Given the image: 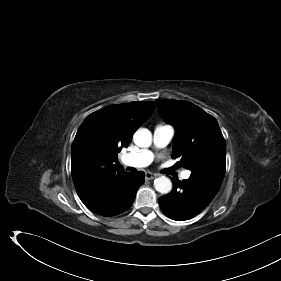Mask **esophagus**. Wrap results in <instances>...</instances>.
<instances>
[{
    "label": "esophagus",
    "instance_id": "1",
    "mask_svg": "<svg viewBox=\"0 0 281 281\" xmlns=\"http://www.w3.org/2000/svg\"><path fill=\"white\" fill-rule=\"evenodd\" d=\"M157 176H158L157 174H153V173L147 172L146 175H145V178L147 180H152V179L156 178Z\"/></svg>",
    "mask_w": 281,
    "mask_h": 281
}]
</instances>
